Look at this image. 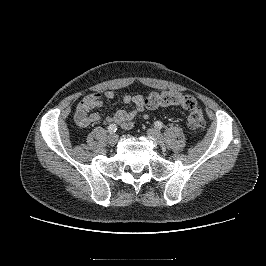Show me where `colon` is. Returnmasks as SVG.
I'll return each instance as SVG.
<instances>
[{
    "label": "colon",
    "mask_w": 266,
    "mask_h": 266,
    "mask_svg": "<svg viewBox=\"0 0 266 266\" xmlns=\"http://www.w3.org/2000/svg\"><path fill=\"white\" fill-rule=\"evenodd\" d=\"M144 103L150 109L168 106L182 107L188 112L187 123L192 132L198 133L205 128L203 111L191 95L171 91L155 92L150 94Z\"/></svg>",
    "instance_id": "obj_1"
}]
</instances>
